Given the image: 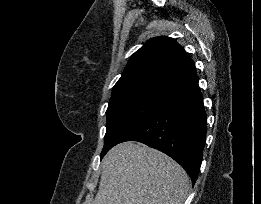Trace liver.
I'll return each instance as SVG.
<instances>
[{
	"label": "liver",
	"mask_w": 261,
	"mask_h": 204,
	"mask_svg": "<svg viewBox=\"0 0 261 204\" xmlns=\"http://www.w3.org/2000/svg\"><path fill=\"white\" fill-rule=\"evenodd\" d=\"M190 179L166 154L124 142L104 157L93 204H183Z\"/></svg>",
	"instance_id": "6515ba94"
}]
</instances>
